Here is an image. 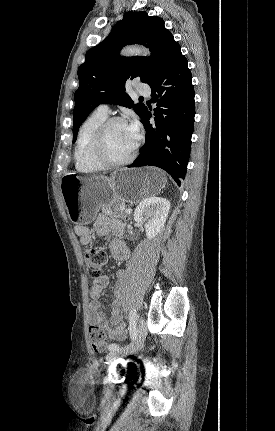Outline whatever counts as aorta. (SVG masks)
Masks as SVG:
<instances>
[{
    "instance_id": "762f6f07",
    "label": "aorta",
    "mask_w": 275,
    "mask_h": 431,
    "mask_svg": "<svg viewBox=\"0 0 275 431\" xmlns=\"http://www.w3.org/2000/svg\"><path fill=\"white\" fill-rule=\"evenodd\" d=\"M121 54L124 56H132V55L148 56L150 52L148 49L144 47H128L123 49Z\"/></svg>"
}]
</instances>
